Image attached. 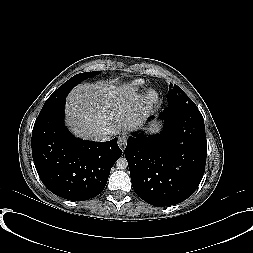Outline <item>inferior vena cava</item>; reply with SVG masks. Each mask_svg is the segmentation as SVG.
Masks as SVG:
<instances>
[{
  "instance_id": "inferior-vena-cava-1",
  "label": "inferior vena cava",
  "mask_w": 253,
  "mask_h": 253,
  "mask_svg": "<svg viewBox=\"0 0 253 253\" xmlns=\"http://www.w3.org/2000/svg\"><path fill=\"white\" fill-rule=\"evenodd\" d=\"M111 138V134L109 133H102L100 134L99 136H97L95 138L96 141H101V142H104V141H107Z\"/></svg>"
}]
</instances>
